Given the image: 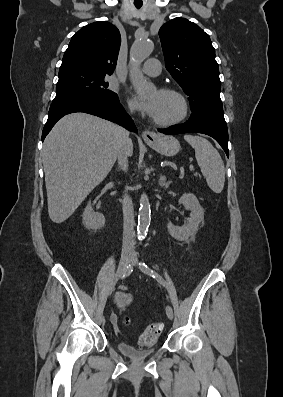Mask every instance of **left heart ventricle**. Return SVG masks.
I'll return each mask as SVG.
<instances>
[{
  "label": "left heart ventricle",
  "mask_w": 283,
  "mask_h": 397,
  "mask_svg": "<svg viewBox=\"0 0 283 397\" xmlns=\"http://www.w3.org/2000/svg\"><path fill=\"white\" fill-rule=\"evenodd\" d=\"M150 99L156 100L154 119L169 120L177 117L181 112V103L174 95L162 94L157 91L150 96Z\"/></svg>",
  "instance_id": "b2bd125f"
}]
</instances>
